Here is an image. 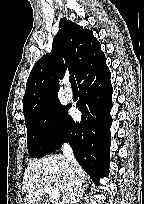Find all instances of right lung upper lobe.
<instances>
[{
  "label": "right lung upper lobe",
  "mask_w": 144,
  "mask_h": 204,
  "mask_svg": "<svg viewBox=\"0 0 144 204\" xmlns=\"http://www.w3.org/2000/svg\"><path fill=\"white\" fill-rule=\"evenodd\" d=\"M101 45L91 30L61 19L54 36L50 54L44 55L33 66L23 97L25 118L31 113L58 99L59 78L73 73L77 82L105 60Z\"/></svg>",
  "instance_id": "obj_1"
}]
</instances>
